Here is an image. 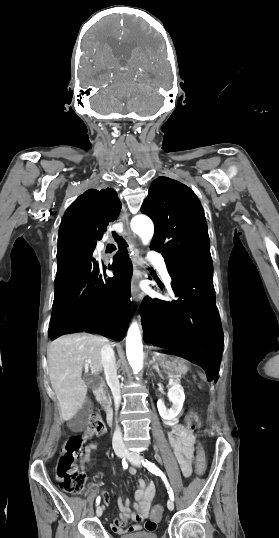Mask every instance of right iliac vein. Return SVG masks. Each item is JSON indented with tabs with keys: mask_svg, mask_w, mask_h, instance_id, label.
<instances>
[{
	"mask_svg": "<svg viewBox=\"0 0 279 538\" xmlns=\"http://www.w3.org/2000/svg\"><path fill=\"white\" fill-rule=\"evenodd\" d=\"M118 456H119L120 458H122V457L124 456V453H118ZM102 513H103V509H102V507H101V506H97V509H96V514H97V516L100 517V516L102 515Z\"/></svg>",
	"mask_w": 279,
	"mask_h": 538,
	"instance_id": "right-iliac-vein-1",
	"label": "right iliac vein"
}]
</instances>
